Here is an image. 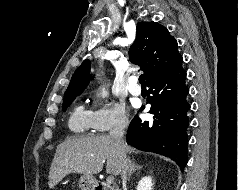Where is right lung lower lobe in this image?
Listing matches in <instances>:
<instances>
[{
  "instance_id": "obj_1",
  "label": "right lung lower lobe",
  "mask_w": 238,
  "mask_h": 190,
  "mask_svg": "<svg viewBox=\"0 0 238 190\" xmlns=\"http://www.w3.org/2000/svg\"><path fill=\"white\" fill-rule=\"evenodd\" d=\"M180 59L173 67L147 82L149 113L153 120L142 121L135 116L127 132V143L135 148L154 151L174 160L183 170L187 164V102L189 89L185 85L186 72Z\"/></svg>"
}]
</instances>
